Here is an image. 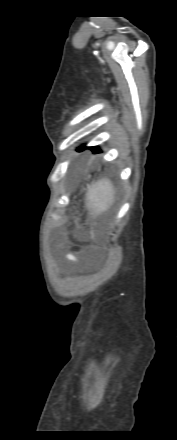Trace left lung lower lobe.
<instances>
[{
    "mask_svg": "<svg viewBox=\"0 0 177 440\" xmlns=\"http://www.w3.org/2000/svg\"><path fill=\"white\" fill-rule=\"evenodd\" d=\"M82 149H84V146L81 147L79 150H82ZM90 149L93 151V153H99V152H101V150L99 149L98 146L90 147Z\"/></svg>",
    "mask_w": 177,
    "mask_h": 440,
    "instance_id": "1",
    "label": "left lung lower lobe"
}]
</instances>
